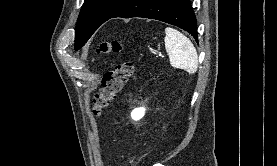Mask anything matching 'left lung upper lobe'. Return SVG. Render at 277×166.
Segmentation results:
<instances>
[{
	"instance_id": "left-lung-upper-lobe-1",
	"label": "left lung upper lobe",
	"mask_w": 277,
	"mask_h": 166,
	"mask_svg": "<svg viewBox=\"0 0 277 166\" xmlns=\"http://www.w3.org/2000/svg\"><path fill=\"white\" fill-rule=\"evenodd\" d=\"M132 1L85 0L76 24L74 49H80L100 25Z\"/></svg>"
}]
</instances>
